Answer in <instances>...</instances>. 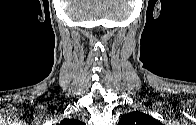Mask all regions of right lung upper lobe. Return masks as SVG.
Returning a JSON list of instances; mask_svg holds the SVG:
<instances>
[{
    "label": "right lung upper lobe",
    "mask_w": 196,
    "mask_h": 125,
    "mask_svg": "<svg viewBox=\"0 0 196 125\" xmlns=\"http://www.w3.org/2000/svg\"><path fill=\"white\" fill-rule=\"evenodd\" d=\"M71 121H72L71 119H64V120H62L61 124H66V123L71 122Z\"/></svg>",
    "instance_id": "right-lung-upper-lobe-1"
}]
</instances>
